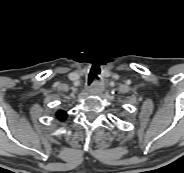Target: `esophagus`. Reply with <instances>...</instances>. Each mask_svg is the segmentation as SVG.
<instances>
[{
  "instance_id": "obj_1",
  "label": "esophagus",
  "mask_w": 184,
  "mask_h": 173,
  "mask_svg": "<svg viewBox=\"0 0 184 173\" xmlns=\"http://www.w3.org/2000/svg\"><path fill=\"white\" fill-rule=\"evenodd\" d=\"M102 91V87L98 84H93L88 88L90 94H98Z\"/></svg>"
}]
</instances>
